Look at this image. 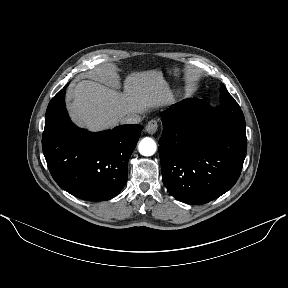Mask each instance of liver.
<instances>
[{"label":"liver","instance_id":"obj_1","mask_svg":"<svg viewBox=\"0 0 288 288\" xmlns=\"http://www.w3.org/2000/svg\"><path fill=\"white\" fill-rule=\"evenodd\" d=\"M68 104L72 118L91 131L112 128L126 116L143 114L171 100L168 83L159 71L129 74L124 92L90 80L80 81Z\"/></svg>","mask_w":288,"mask_h":288}]
</instances>
